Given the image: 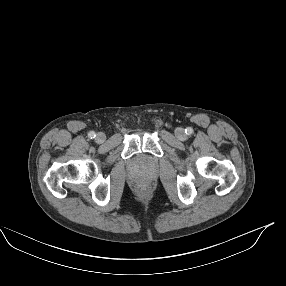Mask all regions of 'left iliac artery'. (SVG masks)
Returning a JSON list of instances; mask_svg holds the SVG:
<instances>
[{"label": "left iliac artery", "instance_id": "left-iliac-artery-1", "mask_svg": "<svg viewBox=\"0 0 286 286\" xmlns=\"http://www.w3.org/2000/svg\"><path fill=\"white\" fill-rule=\"evenodd\" d=\"M185 132H186V134L190 135V134L193 133V129H192L191 127H187V128L185 129Z\"/></svg>", "mask_w": 286, "mask_h": 286}]
</instances>
